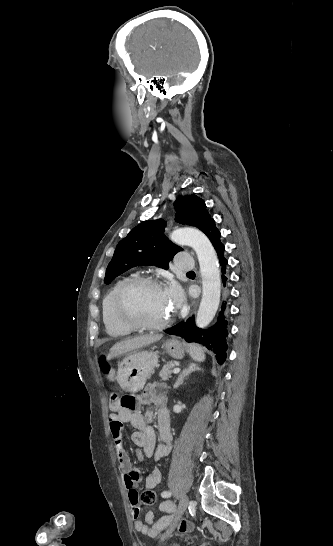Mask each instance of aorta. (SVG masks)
<instances>
[{
    "label": "aorta",
    "mask_w": 333,
    "mask_h": 546,
    "mask_svg": "<svg viewBox=\"0 0 333 546\" xmlns=\"http://www.w3.org/2000/svg\"><path fill=\"white\" fill-rule=\"evenodd\" d=\"M170 238L177 244L192 247L197 254L203 294L196 325L204 328L213 320L220 303L221 281L216 252L209 239L195 228L175 230Z\"/></svg>",
    "instance_id": "obj_1"
}]
</instances>
